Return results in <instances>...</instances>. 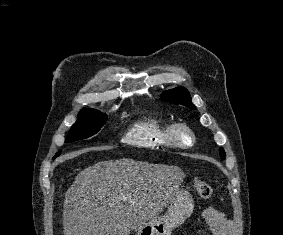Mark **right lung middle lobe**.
<instances>
[{
	"label": "right lung middle lobe",
	"instance_id": "right-lung-middle-lobe-1",
	"mask_svg": "<svg viewBox=\"0 0 283 235\" xmlns=\"http://www.w3.org/2000/svg\"><path fill=\"white\" fill-rule=\"evenodd\" d=\"M106 120V114H103L97 110H81L78 114V120L70 129V132L67 136V142H73L95 135L102 128ZM58 155L59 153H56L55 157H58Z\"/></svg>",
	"mask_w": 283,
	"mask_h": 235
}]
</instances>
